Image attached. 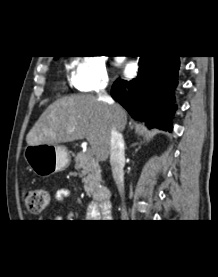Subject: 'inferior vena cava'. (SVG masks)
I'll return each instance as SVG.
<instances>
[{
    "instance_id": "obj_1",
    "label": "inferior vena cava",
    "mask_w": 218,
    "mask_h": 277,
    "mask_svg": "<svg viewBox=\"0 0 218 277\" xmlns=\"http://www.w3.org/2000/svg\"><path fill=\"white\" fill-rule=\"evenodd\" d=\"M106 84L102 85L98 93V99L107 103L114 111L118 110V106L114 104L113 99L108 95L105 90ZM125 144L122 134L116 129V127H112L111 130V140H110V165L112 169V175L117 185L119 194L122 199V211L121 217L122 219H126L127 211L124 202V172L123 168L125 165Z\"/></svg>"
}]
</instances>
